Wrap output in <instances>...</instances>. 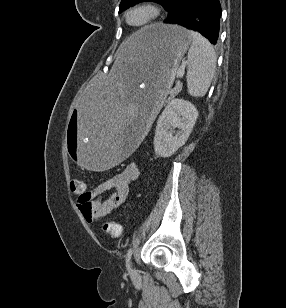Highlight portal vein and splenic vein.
<instances>
[{
	"mask_svg": "<svg viewBox=\"0 0 286 308\" xmlns=\"http://www.w3.org/2000/svg\"><path fill=\"white\" fill-rule=\"evenodd\" d=\"M183 75H184V70L182 69V70H180V72H179V77L182 78ZM177 84L180 85V81H178Z\"/></svg>",
	"mask_w": 286,
	"mask_h": 308,
	"instance_id": "portal-vein-and-splenic-vein-1",
	"label": "portal vein and splenic vein"
}]
</instances>
